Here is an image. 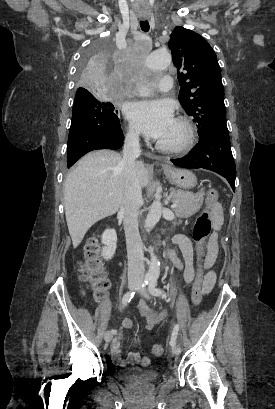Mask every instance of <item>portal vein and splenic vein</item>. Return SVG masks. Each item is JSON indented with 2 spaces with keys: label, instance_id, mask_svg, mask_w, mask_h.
<instances>
[{
  "label": "portal vein and splenic vein",
  "instance_id": "1",
  "mask_svg": "<svg viewBox=\"0 0 275 409\" xmlns=\"http://www.w3.org/2000/svg\"><path fill=\"white\" fill-rule=\"evenodd\" d=\"M109 194H112V192H109ZM177 207L176 202H174V205H171V209H175Z\"/></svg>",
  "mask_w": 275,
  "mask_h": 409
}]
</instances>
